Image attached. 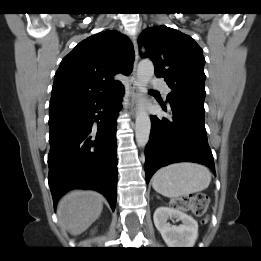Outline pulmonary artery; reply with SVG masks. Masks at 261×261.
Masks as SVG:
<instances>
[{"label":"pulmonary artery","mask_w":261,"mask_h":261,"mask_svg":"<svg viewBox=\"0 0 261 261\" xmlns=\"http://www.w3.org/2000/svg\"><path fill=\"white\" fill-rule=\"evenodd\" d=\"M152 86L155 89H158L159 91H161L164 95H167L169 93V87L167 86V84L165 83L164 80L162 79H155L152 81Z\"/></svg>","instance_id":"obj_1"}]
</instances>
